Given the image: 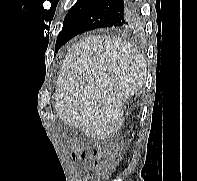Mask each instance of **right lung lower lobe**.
Returning a JSON list of instances; mask_svg holds the SVG:
<instances>
[{"label":"right lung lower lobe","instance_id":"obj_1","mask_svg":"<svg viewBox=\"0 0 197 181\" xmlns=\"http://www.w3.org/2000/svg\"><path fill=\"white\" fill-rule=\"evenodd\" d=\"M136 24L134 0H98L77 18L62 45L85 31L103 27L132 28Z\"/></svg>","mask_w":197,"mask_h":181}]
</instances>
